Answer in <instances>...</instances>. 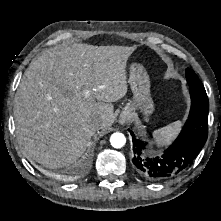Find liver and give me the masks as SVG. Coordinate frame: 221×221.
Wrapping results in <instances>:
<instances>
[{
	"label": "liver",
	"mask_w": 221,
	"mask_h": 221,
	"mask_svg": "<svg viewBox=\"0 0 221 221\" xmlns=\"http://www.w3.org/2000/svg\"><path fill=\"white\" fill-rule=\"evenodd\" d=\"M136 48L75 43L50 48L32 61L14 104L24 154L50 169L78 160L95 134L90 121L101 117L100 129L112 124V102L127 93L126 65Z\"/></svg>",
	"instance_id": "obj_1"
}]
</instances>
